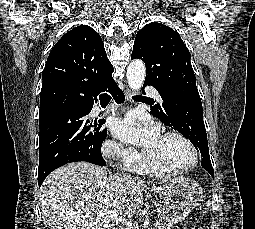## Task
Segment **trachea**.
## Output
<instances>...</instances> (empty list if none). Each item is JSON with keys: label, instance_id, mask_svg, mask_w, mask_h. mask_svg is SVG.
<instances>
[{"label": "trachea", "instance_id": "1", "mask_svg": "<svg viewBox=\"0 0 255 229\" xmlns=\"http://www.w3.org/2000/svg\"><path fill=\"white\" fill-rule=\"evenodd\" d=\"M133 98H144V96H134ZM100 102H106L111 100V96L107 93H103L99 96Z\"/></svg>", "mask_w": 255, "mask_h": 229}]
</instances>
